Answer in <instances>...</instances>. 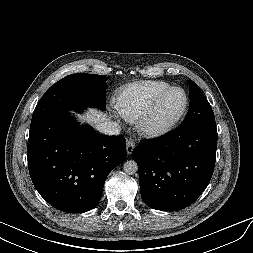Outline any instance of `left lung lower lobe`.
<instances>
[{"label": "left lung lower lobe", "mask_w": 253, "mask_h": 253, "mask_svg": "<svg viewBox=\"0 0 253 253\" xmlns=\"http://www.w3.org/2000/svg\"><path fill=\"white\" fill-rule=\"evenodd\" d=\"M217 138L216 123L208 122L178 127L163 138L141 142L132 158L138 164L143 201L164 211L191 205L212 177Z\"/></svg>", "instance_id": "obj_1"}]
</instances>
